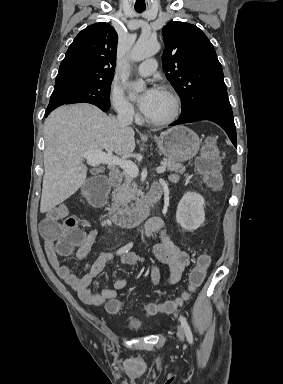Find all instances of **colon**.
<instances>
[{
  "label": "colon",
  "mask_w": 283,
  "mask_h": 384,
  "mask_svg": "<svg viewBox=\"0 0 283 384\" xmlns=\"http://www.w3.org/2000/svg\"><path fill=\"white\" fill-rule=\"evenodd\" d=\"M219 149L216 141L209 138L204 142L200 156L197 159V167L203 176L205 183L213 190H218L222 185V176L219 164ZM109 191V183L101 176L89 179L82 189L83 199L91 206H100L105 202ZM76 217H68L63 223L57 221H45L42 224V233L45 237L57 241L56 249L59 254L66 255L75 247L81 246L85 240L80 230ZM211 263L208 253L200 254L196 264L189 274L188 292L175 301H167L162 304L150 303L145 306L149 314L172 313L203 283L206 271ZM123 305L118 300H110L106 303L109 313H119Z\"/></svg>",
  "instance_id": "obj_1"
}]
</instances>
